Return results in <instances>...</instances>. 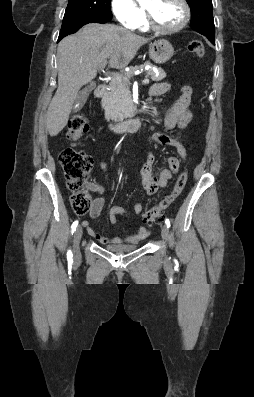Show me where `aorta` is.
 Returning a JSON list of instances; mask_svg holds the SVG:
<instances>
[{
  "label": "aorta",
  "mask_w": 254,
  "mask_h": 397,
  "mask_svg": "<svg viewBox=\"0 0 254 397\" xmlns=\"http://www.w3.org/2000/svg\"><path fill=\"white\" fill-rule=\"evenodd\" d=\"M139 3H143L145 0H137Z\"/></svg>",
  "instance_id": "1"
}]
</instances>
